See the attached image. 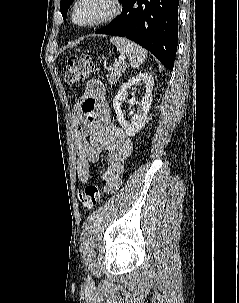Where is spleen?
<instances>
[{"instance_id":"3e777b00","label":"spleen","mask_w":239,"mask_h":303,"mask_svg":"<svg viewBox=\"0 0 239 303\" xmlns=\"http://www.w3.org/2000/svg\"><path fill=\"white\" fill-rule=\"evenodd\" d=\"M110 42L117 47L122 55H129L130 64L133 68H138L146 59V50L140 45L122 37H112Z\"/></svg>"}]
</instances>
